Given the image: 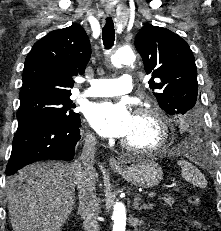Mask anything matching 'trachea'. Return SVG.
I'll use <instances>...</instances> for the list:
<instances>
[{"label": "trachea", "instance_id": "1", "mask_svg": "<svg viewBox=\"0 0 221 231\" xmlns=\"http://www.w3.org/2000/svg\"><path fill=\"white\" fill-rule=\"evenodd\" d=\"M102 39L106 49H110L113 46L115 40V30L113 20L110 17L106 18V23L102 31Z\"/></svg>", "mask_w": 221, "mask_h": 231}]
</instances>
